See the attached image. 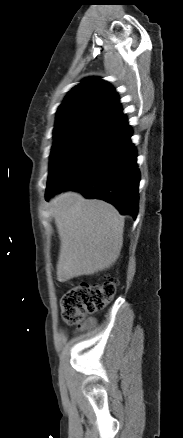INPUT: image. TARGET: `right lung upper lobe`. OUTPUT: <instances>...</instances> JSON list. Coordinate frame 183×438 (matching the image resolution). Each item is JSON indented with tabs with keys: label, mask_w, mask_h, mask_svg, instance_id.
Returning a JSON list of instances; mask_svg holds the SVG:
<instances>
[{
	"label": "right lung upper lobe",
	"mask_w": 183,
	"mask_h": 438,
	"mask_svg": "<svg viewBox=\"0 0 183 438\" xmlns=\"http://www.w3.org/2000/svg\"><path fill=\"white\" fill-rule=\"evenodd\" d=\"M113 87L99 78H88L74 87L57 110L54 132L78 127L99 129L122 116Z\"/></svg>",
	"instance_id": "obj_1"
}]
</instances>
